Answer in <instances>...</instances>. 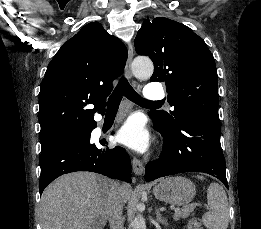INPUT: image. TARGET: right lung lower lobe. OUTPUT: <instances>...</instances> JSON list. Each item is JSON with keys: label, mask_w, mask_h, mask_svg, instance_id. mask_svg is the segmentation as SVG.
Segmentation results:
<instances>
[{"label": "right lung lower lobe", "mask_w": 261, "mask_h": 229, "mask_svg": "<svg viewBox=\"0 0 261 229\" xmlns=\"http://www.w3.org/2000/svg\"><path fill=\"white\" fill-rule=\"evenodd\" d=\"M95 127L96 124L85 135L66 139L41 152L40 194L57 177L75 171L100 173L131 183V162L125 149H109L104 140L100 141L104 147L91 143L90 135Z\"/></svg>", "instance_id": "1"}]
</instances>
